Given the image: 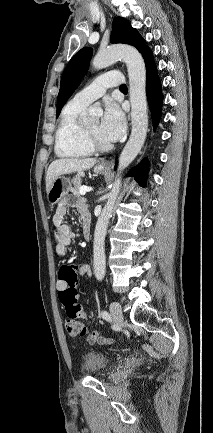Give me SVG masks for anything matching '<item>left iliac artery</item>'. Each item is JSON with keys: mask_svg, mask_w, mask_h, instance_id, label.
<instances>
[{"mask_svg": "<svg viewBox=\"0 0 213 433\" xmlns=\"http://www.w3.org/2000/svg\"><path fill=\"white\" fill-rule=\"evenodd\" d=\"M101 316L103 317V319H106V320L110 319L109 313L107 311H105V310H103L101 312Z\"/></svg>", "mask_w": 213, "mask_h": 433, "instance_id": "44dca946", "label": "left iliac artery"}]
</instances>
